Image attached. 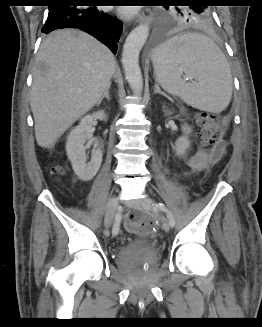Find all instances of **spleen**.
Wrapping results in <instances>:
<instances>
[{"mask_svg":"<svg viewBox=\"0 0 262 327\" xmlns=\"http://www.w3.org/2000/svg\"><path fill=\"white\" fill-rule=\"evenodd\" d=\"M156 79L169 94L194 108L220 113L232 97V75L220 48L207 36L186 33L161 44L152 55ZM181 72L194 79L186 83Z\"/></svg>","mask_w":262,"mask_h":327,"instance_id":"spleen-1","label":"spleen"}]
</instances>
